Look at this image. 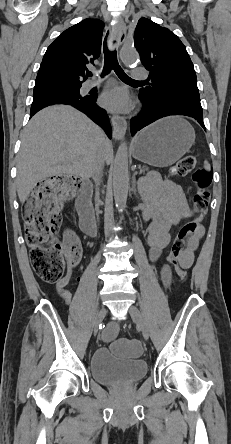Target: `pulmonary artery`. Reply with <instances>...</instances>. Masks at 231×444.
<instances>
[{"instance_id":"pulmonary-artery-1","label":"pulmonary artery","mask_w":231,"mask_h":444,"mask_svg":"<svg viewBox=\"0 0 231 444\" xmlns=\"http://www.w3.org/2000/svg\"><path fill=\"white\" fill-rule=\"evenodd\" d=\"M132 76L136 80H146L148 78V74L146 70L142 67H136L132 69ZM101 80H90L84 84V89H90L96 86Z\"/></svg>"}]
</instances>
